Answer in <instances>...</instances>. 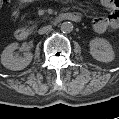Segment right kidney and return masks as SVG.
<instances>
[{
	"instance_id": "ca27d5eb",
	"label": "right kidney",
	"mask_w": 119,
	"mask_h": 119,
	"mask_svg": "<svg viewBox=\"0 0 119 119\" xmlns=\"http://www.w3.org/2000/svg\"><path fill=\"white\" fill-rule=\"evenodd\" d=\"M18 46V43L8 45L1 55V63L3 66L13 71L24 69L30 64L33 58V54L29 51H25L23 56L13 55V51Z\"/></svg>"
}]
</instances>
